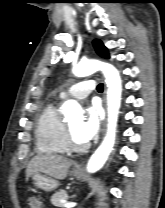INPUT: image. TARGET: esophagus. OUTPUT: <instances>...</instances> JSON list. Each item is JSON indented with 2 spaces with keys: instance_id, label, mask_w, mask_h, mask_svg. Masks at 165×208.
Masks as SVG:
<instances>
[{
  "instance_id": "esophagus-1",
  "label": "esophagus",
  "mask_w": 165,
  "mask_h": 208,
  "mask_svg": "<svg viewBox=\"0 0 165 208\" xmlns=\"http://www.w3.org/2000/svg\"><path fill=\"white\" fill-rule=\"evenodd\" d=\"M105 93H106V85H105V91H104V103H105ZM105 126H106V119H105V121H104V126H103L102 133L105 132ZM77 169H79V168H77Z\"/></svg>"
}]
</instances>
